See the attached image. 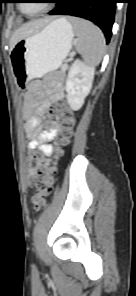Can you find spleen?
Masks as SVG:
<instances>
[{
    "instance_id": "3e777b00",
    "label": "spleen",
    "mask_w": 136,
    "mask_h": 296,
    "mask_svg": "<svg viewBox=\"0 0 136 296\" xmlns=\"http://www.w3.org/2000/svg\"><path fill=\"white\" fill-rule=\"evenodd\" d=\"M77 36L76 49L88 65H97L105 53V38L93 23L79 18H70Z\"/></svg>"
}]
</instances>
